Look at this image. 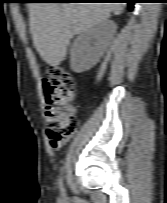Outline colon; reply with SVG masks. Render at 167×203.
<instances>
[{"instance_id": "5ec220e1", "label": "colon", "mask_w": 167, "mask_h": 203, "mask_svg": "<svg viewBox=\"0 0 167 203\" xmlns=\"http://www.w3.org/2000/svg\"><path fill=\"white\" fill-rule=\"evenodd\" d=\"M46 100L48 138L51 146L71 136L77 127V114L70 103L76 95V82L60 65H51L42 81Z\"/></svg>"}]
</instances>
